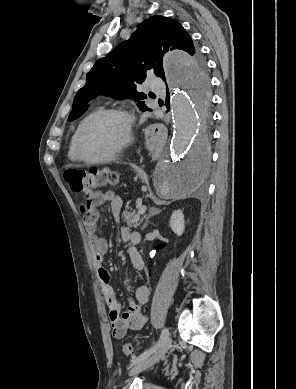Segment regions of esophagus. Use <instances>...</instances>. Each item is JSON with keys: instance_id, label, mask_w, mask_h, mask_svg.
I'll return each instance as SVG.
<instances>
[{"instance_id": "esophagus-1", "label": "esophagus", "mask_w": 296, "mask_h": 389, "mask_svg": "<svg viewBox=\"0 0 296 389\" xmlns=\"http://www.w3.org/2000/svg\"><path fill=\"white\" fill-rule=\"evenodd\" d=\"M147 127L150 131H161L164 127V122L161 118H150L147 122Z\"/></svg>"}]
</instances>
